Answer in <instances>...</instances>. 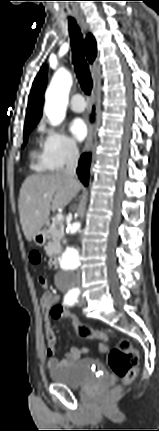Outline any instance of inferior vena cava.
<instances>
[{
	"mask_svg": "<svg viewBox=\"0 0 159 431\" xmlns=\"http://www.w3.org/2000/svg\"><path fill=\"white\" fill-rule=\"evenodd\" d=\"M78 160H79V151L77 147L70 145L67 148V157H66V168L63 172V174L70 179H74L76 176V168L78 166ZM76 280L79 281L80 276L79 274L76 275Z\"/></svg>",
	"mask_w": 159,
	"mask_h": 431,
	"instance_id": "inferior-vena-cava-1",
	"label": "inferior vena cava"
}]
</instances>
